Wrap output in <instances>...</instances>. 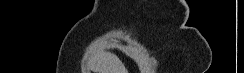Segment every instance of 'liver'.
<instances>
[{"mask_svg":"<svg viewBox=\"0 0 244 73\" xmlns=\"http://www.w3.org/2000/svg\"><path fill=\"white\" fill-rule=\"evenodd\" d=\"M94 70L98 73H127L120 59L110 52L99 54L94 60Z\"/></svg>","mask_w":244,"mask_h":73,"instance_id":"liver-1","label":"liver"}]
</instances>
